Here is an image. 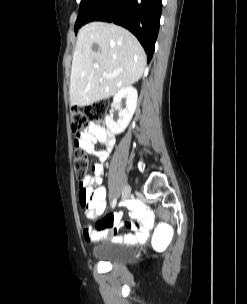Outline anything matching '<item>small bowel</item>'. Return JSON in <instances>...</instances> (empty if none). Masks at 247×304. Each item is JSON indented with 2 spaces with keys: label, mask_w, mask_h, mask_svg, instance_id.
I'll list each match as a JSON object with an SVG mask.
<instances>
[{
  "label": "small bowel",
  "mask_w": 247,
  "mask_h": 304,
  "mask_svg": "<svg viewBox=\"0 0 247 304\" xmlns=\"http://www.w3.org/2000/svg\"><path fill=\"white\" fill-rule=\"evenodd\" d=\"M80 147L87 153L97 157L92 167V173L83 180L84 199L79 202L89 219L99 218L107 207L106 189L102 186L104 163L112 152L115 140L110 132L100 125L91 124L78 138ZM96 144H101L104 149L97 150ZM134 220L124 223L133 231L131 234L121 235L120 229L123 225L118 215L110 216L100 221L95 229L85 227L83 237L88 242H98L111 238L118 243H142L149 235V229L153 225L152 214L141 204L136 203L132 209Z\"/></svg>",
  "instance_id": "obj_1"
}]
</instances>
